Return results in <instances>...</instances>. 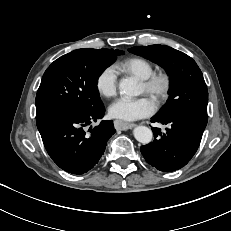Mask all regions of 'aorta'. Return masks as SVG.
<instances>
[{
    "label": "aorta",
    "instance_id": "1",
    "mask_svg": "<svg viewBox=\"0 0 231 231\" xmlns=\"http://www.w3.org/2000/svg\"><path fill=\"white\" fill-rule=\"evenodd\" d=\"M120 91L127 96H137L140 94V87L133 78L122 79L119 83ZM135 139L142 144H149L152 141V130L146 126H137L133 130Z\"/></svg>",
    "mask_w": 231,
    "mask_h": 231
}]
</instances>
